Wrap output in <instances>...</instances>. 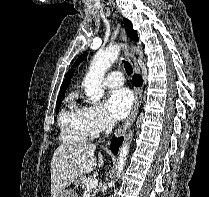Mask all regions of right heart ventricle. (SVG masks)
Instances as JSON below:
<instances>
[{
  "label": "right heart ventricle",
  "mask_w": 209,
  "mask_h": 197,
  "mask_svg": "<svg viewBox=\"0 0 209 197\" xmlns=\"http://www.w3.org/2000/svg\"><path fill=\"white\" fill-rule=\"evenodd\" d=\"M61 140L68 143L84 142L91 137L84 116V107L77 102L75 94L69 96L59 115Z\"/></svg>",
  "instance_id": "1"
}]
</instances>
